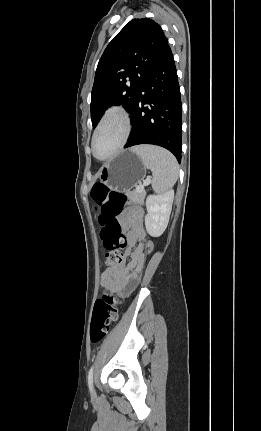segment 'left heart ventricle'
<instances>
[{
	"label": "left heart ventricle",
	"mask_w": 261,
	"mask_h": 431,
	"mask_svg": "<svg viewBox=\"0 0 261 431\" xmlns=\"http://www.w3.org/2000/svg\"><path fill=\"white\" fill-rule=\"evenodd\" d=\"M123 134V125L118 118H112L104 124L95 140V154L106 157L118 146Z\"/></svg>",
	"instance_id": "1"
}]
</instances>
